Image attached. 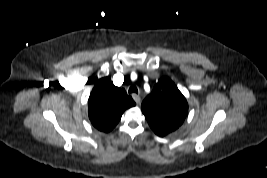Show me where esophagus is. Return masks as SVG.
I'll return each mask as SVG.
<instances>
[{
    "instance_id": "obj_1",
    "label": "esophagus",
    "mask_w": 267,
    "mask_h": 178,
    "mask_svg": "<svg viewBox=\"0 0 267 178\" xmlns=\"http://www.w3.org/2000/svg\"><path fill=\"white\" fill-rule=\"evenodd\" d=\"M132 97L137 104H140L141 98L139 95L133 94Z\"/></svg>"
}]
</instances>
